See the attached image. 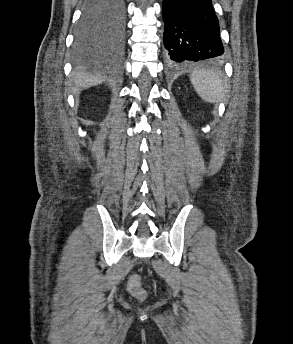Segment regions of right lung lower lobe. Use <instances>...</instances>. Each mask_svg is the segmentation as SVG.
Masks as SVG:
<instances>
[{"label": "right lung lower lobe", "instance_id": "right-lung-lower-lobe-1", "mask_svg": "<svg viewBox=\"0 0 293 344\" xmlns=\"http://www.w3.org/2000/svg\"><path fill=\"white\" fill-rule=\"evenodd\" d=\"M88 0H86L87 2ZM123 13H124V20H123V25L122 28L116 32H113V42L112 45L114 46H121L123 42V37H124V21H125V6H124V0H123Z\"/></svg>", "mask_w": 293, "mask_h": 344}]
</instances>
